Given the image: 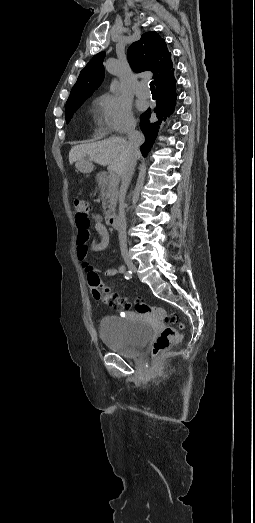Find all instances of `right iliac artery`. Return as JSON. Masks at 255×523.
Listing matches in <instances>:
<instances>
[{
	"mask_svg": "<svg viewBox=\"0 0 255 523\" xmlns=\"http://www.w3.org/2000/svg\"><path fill=\"white\" fill-rule=\"evenodd\" d=\"M131 277H132V272H131V271H127V272L125 273V278H126V279H130Z\"/></svg>",
	"mask_w": 255,
	"mask_h": 523,
	"instance_id": "obj_1",
	"label": "right iliac artery"
}]
</instances>
